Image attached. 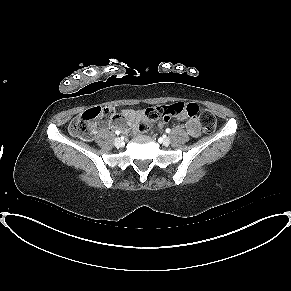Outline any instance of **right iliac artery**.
<instances>
[{"label":"right iliac artery","mask_w":291,"mask_h":291,"mask_svg":"<svg viewBox=\"0 0 291 291\" xmlns=\"http://www.w3.org/2000/svg\"><path fill=\"white\" fill-rule=\"evenodd\" d=\"M115 133H116L117 135H119V134H120V131L117 130Z\"/></svg>","instance_id":"right-iliac-artery-1"}]
</instances>
